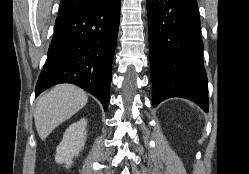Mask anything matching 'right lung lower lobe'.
Listing matches in <instances>:
<instances>
[{
	"label": "right lung lower lobe",
	"mask_w": 249,
	"mask_h": 174,
	"mask_svg": "<svg viewBox=\"0 0 249 174\" xmlns=\"http://www.w3.org/2000/svg\"><path fill=\"white\" fill-rule=\"evenodd\" d=\"M120 4L114 0L56 19L35 96L55 84L71 83L90 92L107 110Z\"/></svg>",
	"instance_id": "obj_1"
}]
</instances>
